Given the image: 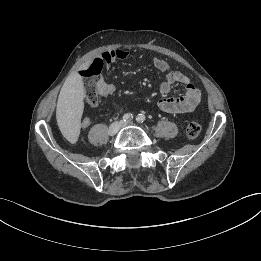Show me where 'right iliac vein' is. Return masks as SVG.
<instances>
[{"label":"right iliac vein","instance_id":"1","mask_svg":"<svg viewBox=\"0 0 261 261\" xmlns=\"http://www.w3.org/2000/svg\"><path fill=\"white\" fill-rule=\"evenodd\" d=\"M122 124H123L122 121H117V122L112 123L108 128V134L110 136H114L119 131Z\"/></svg>","mask_w":261,"mask_h":261}]
</instances>
